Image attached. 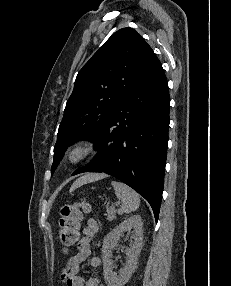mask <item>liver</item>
Instances as JSON below:
<instances>
[{
  "mask_svg": "<svg viewBox=\"0 0 231 286\" xmlns=\"http://www.w3.org/2000/svg\"><path fill=\"white\" fill-rule=\"evenodd\" d=\"M105 174H86L79 179H77L70 188V191H74L78 187L82 186L83 184L94 182L100 179L105 178Z\"/></svg>",
  "mask_w": 231,
  "mask_h": 286,
  "instance_id": "6515ba94",
  "label": "liver"
}]
</instances>
